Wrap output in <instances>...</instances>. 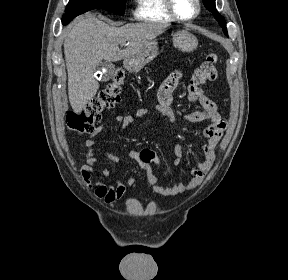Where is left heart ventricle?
Segmentation results:
<instances>
[{"instance_id": "left-heart-ventricle-1", "label": "left heart ventricle", "mask_w": 288, "mask_h": 280, "mask_svg": "<svg viewBox=\"0 0 288 280\" xmlns=\"http://www.w3.org/2000/svg\"><path fill=\"white\" fill-rule=\"evenodd\" d=\"M176 12L183 18H189L196 12L195 0H174Z\"/></svg>"}]
</instances>
